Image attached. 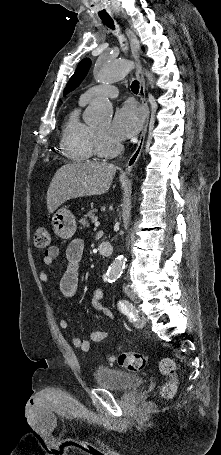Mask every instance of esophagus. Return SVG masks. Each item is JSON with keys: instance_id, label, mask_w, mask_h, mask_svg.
Returning a JSON list of instances; mask_svg holds the SVG:
<instances>
[{"instance_id": "1", "label": "esophagus", "mask_w": 221, "mask_h": 455, "mask_svg": "<svg viewBox=\"0 0 221 455\" xmlns=\"http://www.w3.org/2000/svg\"><path fill=\"white\" fill-rule=\"evenodd\" d=\"M126 32L130 39L132 55L138 64V68L136 71V77L139 81V95H140L142 104L145 108V122H144V126L142 129L140 138H139L138 145H137L135 151L132 153V155L129 157V159L127 160V162L125 164V171H124L123 175L130 173V171L132 170L133 166L136 164V162L142 152L144 141H145V136H146V132H147V128H148L149 116H150V110H149V106H148L147 99H146V93H145V80H144V76H143L142 69H141V56H140L141 51H140L139 42H138L136 35L134 34V32L132 30L127 28Z\"/></svg>"}]
</instances>
